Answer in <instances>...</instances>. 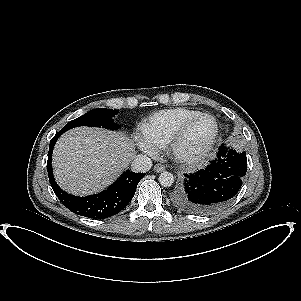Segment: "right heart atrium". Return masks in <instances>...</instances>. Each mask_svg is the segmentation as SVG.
I'll list each match as a JSON object with an SVG mask.
<instances>
[{
	"label": "right heart atrium",
	"instance_id": "right-heart-atrium-1",
	"mask_svg": "<svg viewBox=\"0 0 301 301\" xmlns=\"http://www.w3.org/2000/svg\"><path fill=\"white\" fill-rule=\"evenodd\" d=\"M135 143L141 151L148 155H154L157 153V147L142 135L135 136Z\"/></svg>",
	"mask_w": 301,
	"mask_h": 301
}]
</instances>
